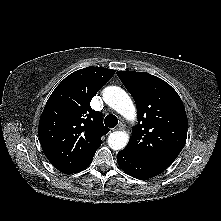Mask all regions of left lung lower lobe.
I'll return each mask as SVG.
<instances>
[{"mask_svg":"<svg viewBox=\"0 0 221 221\" xmlns=\"http://www.w3.org/2000/svg\"><path fill=\"white\" fill-rule=\"evenodd\" d=\"M117 162L123 171L138 179L152 178L164 171L160 167L135 157L126 150H122L117 154Z\"/></svg>","mask_w":221,"mask_h":221,"instance_id":"1","label":"left lung lower lobe"}]
</instances>
